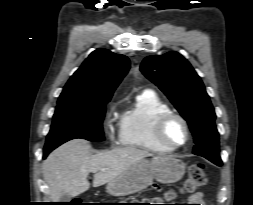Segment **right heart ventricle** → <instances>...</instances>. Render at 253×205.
Returning a JSON list of instances; mask_svg holds the SVG:
<instances>
[{
  "instance_id": "obj_1",
  "label": "right heart ventricle",
  "mask_w": 253,
  "mask_h": 205,
  "mask_svg": "<svg viewBox=\"0 0 253 205\" xmlns=\"http://www.w3.org/2000/svg\"><path fill=\"white\" fill-rule=\"evenodd\" d=\"M170 111L169 105L154 91L144 90L136 96L134 105L120 117V144L155 153L169 151L155 139L154 126L161 115Z\"/></svg>"
}]
</instances>
